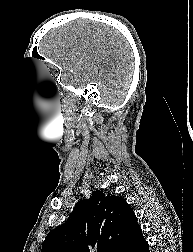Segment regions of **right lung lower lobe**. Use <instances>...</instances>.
<instances>
[{
    "instance_id": "98d812e1",
    "label": "right lung lower lobe",
    "mask_w": 193,
    "mask_h": 252,
    "mask_svg": "<svg viewBox=\"0 0 193 252\" xmlns=\"http://www.w3.org/2000/svg\"><path fill=\"white\" fill-rule=\"evenodd\" d=\"M120 252H149L148 243L140 229Z\"/></svg>"
}]
</instances>
